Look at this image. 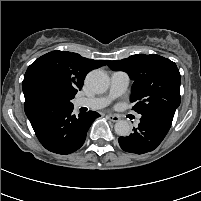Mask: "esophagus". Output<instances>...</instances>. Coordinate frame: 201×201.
Wrapping results in <instances>:
<instances>
[{"instance_id": "esophagus-1", "label": "esophagus", "mask_w": 201, "mask_h": 201, "mask_svg": "<svg viewBox=\"0 0 201 201\" xmlns=\"http://www.w3.org/2000/svg\"><path fill=\"white\" fill-rule=\"evenodd\" d=\"M106 117L112 122H118L120 120L119 116L117 115L108 114Z\"/></svg>"}]
</instances>
